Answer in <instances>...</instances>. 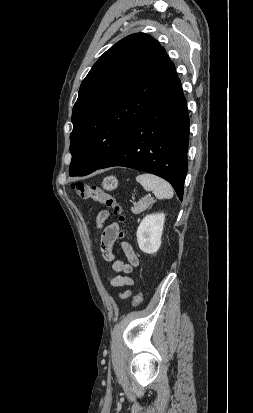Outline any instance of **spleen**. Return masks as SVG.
Returning <instances> with one entry per match:
<instances>
[{"label": "spleen", "instance_id": "obj_1", "mask_svg": "<svg viewBox=\"0 0 253 413\" xmlns=\"http://www.w3.org/2000/svg\"><path fill=\"white\" fill-rule=\"evenodd\" d=\"M146 191H152L158 199H171L173 197L172 186L164 179L153 174H140L136 177Z\"/></svg>", "mask_w": 253, "mask_h": 413}]
</instances>
